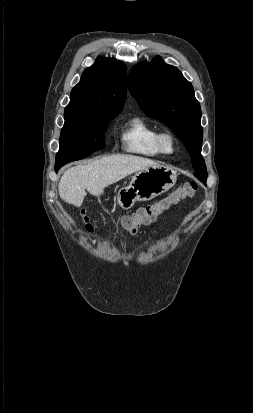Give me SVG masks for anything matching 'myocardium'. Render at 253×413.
I'll use <instances>...</instances> for the list:
<instances>
[{"instance_id": "myocardium-1", "label": "myocardium", "mask_w": 253, "mask_h": 413, "mask_svg": "<svg viewBox=\"0 0 253 413\" xmlns=\"http://www.w3.org/2000/svg\"><path fill=\"white\" fill-rule=\"evenodd\" d=\"M169 143V147H167ZM157 145L163 154H173L177 147L176 136L169 130H163L157 134Z\"/></svg>"}]
</instances>
